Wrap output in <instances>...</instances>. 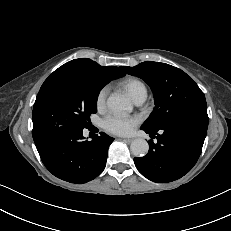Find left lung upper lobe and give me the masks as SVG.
I'll list each match as a JSON object with an SVG mask.
<instances>
[{
  "label": "left lung upper lobe",
  "mask_w": 231,
  "mask_h": 231,
  "mask_svg": "<svg viewBox=\"0 0 231 231\" xmlns=\"http://www.w3.org/2000/svg\"><path fill=\"white\" fill-rule=\"evenodd\" d=\"M121 68L126 73L143 79L154 94L156 106L142 126L155 129L182 116L207 115L204 93L182 70L152 61Z\"/></svg>",
  "instance_id": "obj_1"
}]
</instances>
